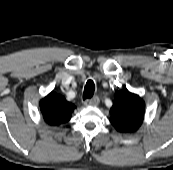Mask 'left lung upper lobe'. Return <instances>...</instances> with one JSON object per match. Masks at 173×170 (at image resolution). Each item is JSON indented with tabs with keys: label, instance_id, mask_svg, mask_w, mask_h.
I'll return each mask as SVG.
<instances>
[{
	"label": "left lung upper lobe",
	"instance_id": "left-lung-upper-lobe-1",
	"mask_svg": "<svg viewBox=\"0 0 173 170\" xmlns=\"http://www.w3.org/2000/svg\"><path fill=\"white\" fill-rule=\"evenodd\" d=\"M110 111V121L116 130L122 133H131L142 124L145 103L138 95L129 92L124 87L123 90L116 93Z\"/></svg>",
	"mask_w": 173,
	"mask_h": 170
}]
</instances>
